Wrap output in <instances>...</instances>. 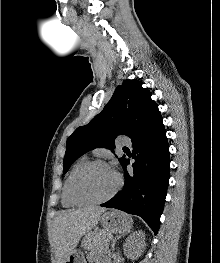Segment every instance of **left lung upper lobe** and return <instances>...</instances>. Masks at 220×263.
<instances>
[{
  "label": "left lung upper lobe",
  "instance_id": "left-lung-upper-lobe-1",
  "mask_svg": "<svg viewBox=\"0 0 220 263\" xmlns=\"http://www.w3.org/2000/svg\"><path fill=\"white\" fill-rule=\"evenodd\" d=\"M160 117L158 105L151 99L150 91L137 80H125L116 87L102 112L88 124L78 127L68 138L63 173L89 150L98 147L113 149L119 135L135 140ZM118 160L122 164L125 156Z\"/></svg>",
  "mask_w": 220,
  "mask_h": 263
}]
</instances>
